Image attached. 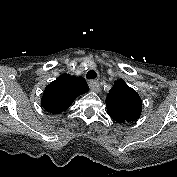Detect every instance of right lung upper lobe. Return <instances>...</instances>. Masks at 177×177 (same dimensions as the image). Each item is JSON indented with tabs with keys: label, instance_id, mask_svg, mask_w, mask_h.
<instances>
[{
	"label": "right lung upper lobe",
	"instance_id": "obj_1",
	"mask_svg": "<svg viewBox=\"0 0 177 177\" xmlns=\"http://www.w3.org/2000/svg\"><path fill=\"white\" fill-rule=\"evenodd\" d=\"M85 92L79 81L63 75L45 88L41 104L48 112L58 114L69 108L72 102Z\"/></svg>",
	"mask_w": 177,
	"mask_h": 177
}]
</instances>
